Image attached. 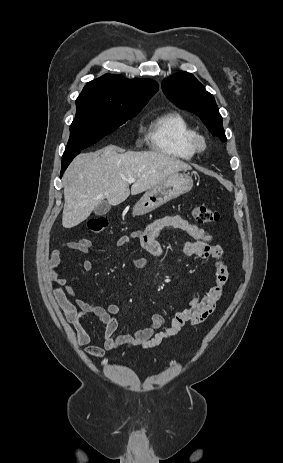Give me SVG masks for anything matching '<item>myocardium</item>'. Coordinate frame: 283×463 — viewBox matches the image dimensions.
<instances>
[{
	"instance_id": "1",
	"label": "myocardium",
	"mask_w": 283,
	"mask_h": 463,
	"mask_svg": "<svg viewBox=\"0 0 283 463\" xmlns=\"http://www.w3.org/2000/svg\"><path fill=\"white\" fill-rule=\"evenodd\" d=\"M193 147L195 149V151H198V152H203L206 150L207 148V143H206V139L203 135L201 134H196L194 135L193 137Z\"/></svg>"
}]
</instances>
